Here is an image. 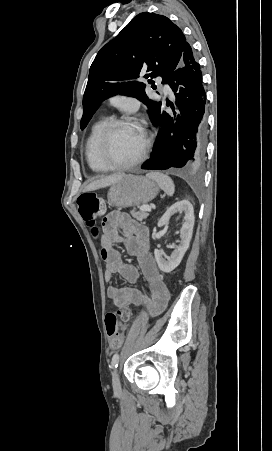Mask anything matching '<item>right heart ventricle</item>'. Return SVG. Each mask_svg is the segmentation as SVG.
Segmentation results:
<instances>
[{
    "mask_svg": "<svg viewBox=\"0 0 272 451\" xmlns=\"http://www.w3.org/2000/svg\"><path fill=\"white\" fill-rule=\"evenodd\" d=\"M106 120L103 119L99 122H97L90 134V137L88 139L87 143V150H86V156H87V163L90 168V170L95 174H100L103 172L101 164L98 159L97 155V143L98 138L100 135V132L105 124Z\"/></svg>",
    "mask_w": 272,
    "mask_h": 451,
    "instance_id": "right-heart-ventricle-1",
    "label": "right heart ventricle"
}]
</instances>
